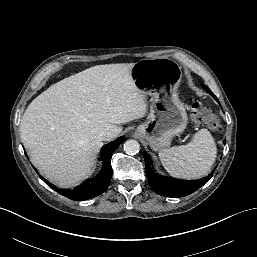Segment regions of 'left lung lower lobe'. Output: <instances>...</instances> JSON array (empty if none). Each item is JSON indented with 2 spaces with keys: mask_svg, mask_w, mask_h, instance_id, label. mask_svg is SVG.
Returning a JSON list of instances; mask_svg holds the SVG:
<instances>
[{
  "mask_svg": "<svg viewBox=\"0 0 257 257\" xmlns=\"http://www.w3.org/2000/svg\"><path fill=\"white\" fill-rule=\"evenodd\" d=\"M215 100L218 99L212 94ZM225 143V141H224ZM146 164V175L151 188L159 195L166 197H183L187 196L200 187H202L213 176V172L201 180L187 181L173 178H166L155 174L152 171V162L149 156L143 152Z\"/></svg>",
  "mask_w": 257,
  "mask_h": 257,
  "instance_id": "left-lung-lower-lobe-1",
  "label": "left lung lower lobe"
}]
</instances>
